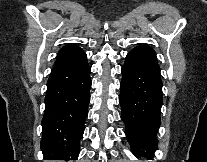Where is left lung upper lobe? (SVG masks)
Returning <instances> with one entry per match:
<instances>
[{
    "label": "left lung upper lobe",
    "instance_id": "5c2ea615",
    "mask_svg": "<svg viewBox=\"0 0 207 162\" xmlns=\"http://www.w3.org/2000/svg\"><path fill=\"white\" fill-rule=\"evenodd\" d=\"M133 50L155 54V51L153 49H151L150 47L145 46V45L138 46V47L134 48Z\"/></svg>",
    "mask_w": 207,
    "mask_h": 162
}]
</instances>
